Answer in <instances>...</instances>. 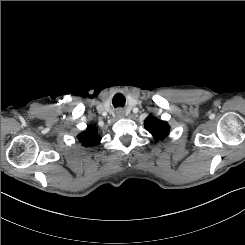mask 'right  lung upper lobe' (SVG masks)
Returning a JSON list of instances; mask_svg holds the SVG:
<instances>
[{"label": "right lung upper lobe", "mask_w": 245, "mask_h": 245, "mask_svg": "<svg viewBox=\"0 0 245 245\" xmlns=\"http://www.w3.org/2000/svg\"><path fill=\"white\" fill-rule=\"evenodd\" d=\"M79 142L85 147L97 146L101 137L98 135V130L94 126H88L86 131L78 135Z\"/></svg>", "instance_id": "1"}]
</instances>
